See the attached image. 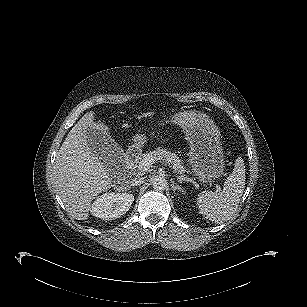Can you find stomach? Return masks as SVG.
I'll use <instances>...</instances> for the list:
<instances>
[{"instance_id":"0dacf381","label":"stomach","mask_w":307,"mask_h":307,"mask_svg":"<svg viewBox=\"0 0 307 307\" xmlns=\"http://www.w3.org/2000/svg\"><path fill=\"white\" fill-rule=\"evenodd\" d=\"M166 123L178 125L189 143V163L192 172L202 183L213 182L223 171V155L219 145V132L213 120L204 112L182 110L157 126Z\"/></svg>"}]
</instances>
